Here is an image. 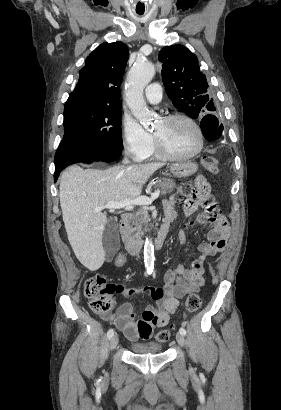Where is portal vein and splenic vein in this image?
<instances>
[{"label": "portal vein and splenic vein", "mask_w": 281, "mask_h": 410, "mask_svg": "<svg viewBox=\"0 0 281 410\" xmlns=\"http://www.w3.org/2000/svg\"><path fill=\"white\" fill-rule=\"evenodd\" d=\"M161 191L158 189L156 190L151 197L147 196H139L134 199L119 201V202H108L104 206H100L94 209V212H100L104 209H132L136 205H143L149 206L152 202L157 199L160 195Z\"/></svg>", "instance_id": "portal-vein-and-splenic-vein-1"}]
</instances>
